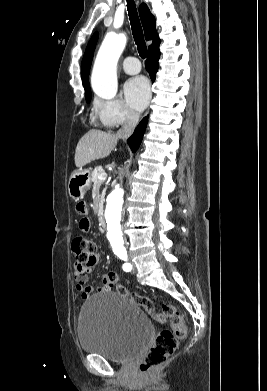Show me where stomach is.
Here are the masks:
<instances>
[{
    "mask_svg": "<svg viewBox=\"0 0 267 391\" xmlns=\"http://www.w3.org/2000/svg\"><path fill=\"white\" fill-rule=\"evenodd\" d=\"M91 172L88 169H78L74 171L68 182L69 196L78 201L91 187Z\"/></svg>",
    "mask_w": 267,
    "mask_h": 391,
    "instance_id": "1",
    "label": "stomach"
}]
</instances>
